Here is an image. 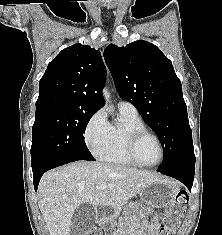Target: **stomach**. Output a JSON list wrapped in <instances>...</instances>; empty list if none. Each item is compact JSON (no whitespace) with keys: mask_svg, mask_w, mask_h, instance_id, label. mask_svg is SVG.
<instances>
[{"mask_svg":"<svg viewBox=\"0 0 222 235\" xmlns=\"http://www.w3.org/2000/svg\"><path fill=\"white\" fill-rule=\"evenodd\" d=\"M180 191L179 184L170 179H159L150 183L140 192V202L130 201L121 205L124 219H130L133 227L128 230L129 235H149L141 228L143 220L154 209L161 208L173 202ZM119 210V212H120ZM117 214L102 216L98 224L104 230H114L117 226Z\"/></svg>","mask_w":222,"mask_h":235,"instance_id":"0dacf381","label":"stomach"}]
</instances>
